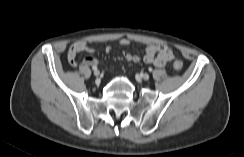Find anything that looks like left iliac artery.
Segmentation results:
<instances>
[{"label":"left iliac artery","mask_w":244,"mask_h":157,"mask_svg":"<svg viewBox=\"0 0 244 157\" xmlns=\"http://www.w3.org/2000/svg\"><path fill=\"white\" fill-rule=\"evenodd\" d=\"M149 71L151 72L152 71V68H149Z\"/></svg>","instance_id":"left-iliac-artery-1"}]
</instances>
